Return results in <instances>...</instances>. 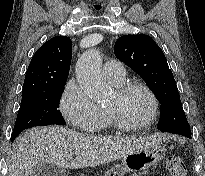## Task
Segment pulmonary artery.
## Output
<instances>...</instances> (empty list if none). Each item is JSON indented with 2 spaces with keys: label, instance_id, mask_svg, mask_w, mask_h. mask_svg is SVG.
Returning a JSON list of instances; mask_svg holds the SVG:
<instances>
[{
  "label": "pulmonary artery",
  "instance_id": "1",
  "mask_svg": "<svg viewBox=\"0 0 205 176\" xmlns=\"http://www.w3.org/2000/svg\"><path fill=\"white\" fill-rule=\"evenodd\" d=\"M103 75L109 81L119 83L124 81L126 71L124 64L117 60H109L103 66Z\"/></svg>",
  "mask_w": 205,
  "mask_h": 176
}]
</instances>
